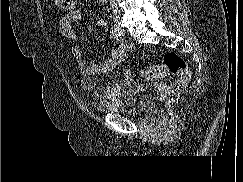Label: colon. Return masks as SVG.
Here are the masks:
<instances>
[{
	"instance_id": "obj_1",
	"label": "colon",
	"mask_w": 243,
	"mask_h": 182,
	"mask_svg": "<svg viewBox=\"0 0 243 182\" xmlns=\"http://www.w3.org/2000/svg\"><path fill=\"white\" fill-rule=\"evenodd\" d=\"M55 2L58 8L65 11H72L76 5V0H55ZM141 73L148 80L162 79L167 75L178 76V79L168 89L169 95H175L182 91L191 78L190 70L185 61L175 52L165 53L162 63L147 66Z\"/></svg>"
}]
</instances>
